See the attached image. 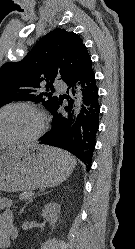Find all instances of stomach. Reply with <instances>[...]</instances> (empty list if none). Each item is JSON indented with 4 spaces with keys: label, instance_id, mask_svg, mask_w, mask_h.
<instances>
[{
    "label": "stomach",
    "instance_id": "0dacf381",
    "mask_svg": "<svg viewBox=\"0 0 135 249\" xmlns=\"http://www.w3.org/2000/svg\"><path fill=\"white\" fill-rule=\"evenodd\" d=\"M74 164L53 148L39 145L0 146V191L51 187L64 181Z\"/></svg>",
    "mask_w": 135,
    "mask_h": 249
}]
</instances>
